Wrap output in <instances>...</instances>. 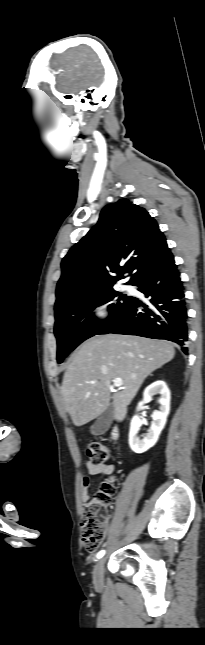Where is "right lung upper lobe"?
I'll list each match as a JSON object with an SVG mask.
<instances>
[{"label":"right lung upper lobe","mask_w":205,"mask_h":645,"mask_svg":"<svg viewBox=\"0 0 205 645\" xmlns=\"http://www.w3.org/2000/svg\"><path fill=\"white\" fill-rule=\"evenodd\" d=\"M172 256L157 222L144 208L127 199L109 204L62 260L55 314L83 296L112 289L124 273H133L127 282L131 284Z\"/></svg>","instance_id":"cb5924a9"}]
</instances>
